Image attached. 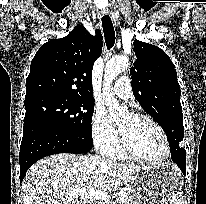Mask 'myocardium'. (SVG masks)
<instances>
[{
  "mask_svg": "<svg viewBox=\"0 0 206 204\" xmlns=\"http://www.w3.org/2000/svg\"><path fill=\"white\" fill-rule=\"evenodd\" d=\"M130 117L136 121H147L148 123H150L152 126H154L158 132L161 134L164 143H165V147H166V152L165 155L159 159H149L146 158L142 155H140L132 146L128 136L120 129L118 128V136H119V141H120V145L123 149V151L132 159H135L137 161L140 162H144L147 164H161L165 161H167L172 153V147H171V143L169 140V137L166 133V131L164 130V128L156 121L154 120L152 117H150L147 114H143V113H131Z\"/></svg>",
  "mask_w": 206,
  "mask_h": 204,
  "instance_id": "myocardium-1",
  "label": "myocardium"
}]
</instances>
